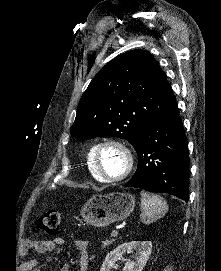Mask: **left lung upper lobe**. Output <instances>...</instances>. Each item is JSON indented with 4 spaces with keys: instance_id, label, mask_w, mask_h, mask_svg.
Wrapping results in <instances>:
<instances>
[{
    "instance_id": "left-lung-upper-lobe-1",
    "label": "left lung upper lobe",
    "mask_w": 221,
    "mask_h": 271,
    "mask_svg": "<svg viewBox=\"0 0 221 271\" xmlns=\"http://www.w3.org/2000/svg\"><path fill=\"white\" fill-rule=\"evenodd\" d=\"M174 103L158 62L146 50H132L107 63L90 82L71 133L78 140L121 137L133 145L145 125Z\"/></svg>"
}]
</instances>
